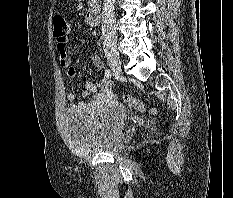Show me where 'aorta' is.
<instances>
[{
    "instance_id": "762f6f07",
    "label": "aorta",
    "mask_w": 233,
    "mask_h": 198,
    "mask_svg": "<svg viewBox=\"0 0 233 198\" xmlns=\"http://www.w3.org/2000/svg\"><path fill=\"white\" fill-rule=\"evenodd\" d=\"M114 1H115V0H109V3H110V4H111V3H114Z\"/></svg>"
}]
</instances>
